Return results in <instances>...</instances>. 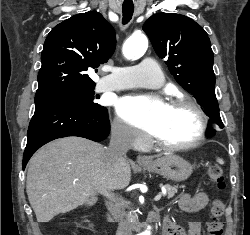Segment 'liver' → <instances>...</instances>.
<instances>
[{
	"label": "liver",
	"mask_w": 250,
	"mask_h": 235,
	"mask_svg": "<svg viewBox=\"0 0 250 235\" xmlns=\"http://www.w3.org/2000/svg\"><path fill=\"white\" fill-rule=\"evenodd\" d=\"M104 151L101 144L73 136L49 143L31 158L26 191L38 222L93 204L103 191L129 185V162L124 159L110 166Z\"/></svg>",
	"instance_id": "liver-1"
}]
</instances>
